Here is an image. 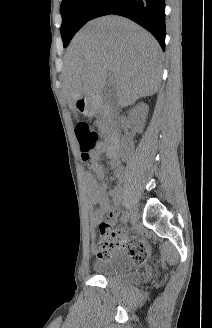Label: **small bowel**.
I'll list each match as a JSON object with an SVG mask.
<instances>
[{"mask_svg":"<svg viewBox=\"0 0 212 328\" xmlns=\"http://www.w3.org/2000/svg\"><path fill=\"white\" fill-rule=\"evenodd\" d=\"M104 152V144L100 143L93 155V160L90 162L91 169L95 172L96 177L92 174L85 175V189L87 200L91 205H98V209L92 214V224L94 226L102 223L109 225L115 224L118 221L121 196L118 188L107 190L105 184V173L103 168L97 163V159ZM112 166L115 168V176L121 180L124 175V169L119 165L118 161H112ZM107 216V222H104ZM119 239L116 248L110 257L129 258L133 262H137L141 253L145 250L142 241L136 237H128L124 231H119ZM93 249L97 251L96 245Z\"/></svg>","mask_w":212,"mask_h":328,"instance_id":"c3829d8e","label":"small bowel"}]
</instances>
